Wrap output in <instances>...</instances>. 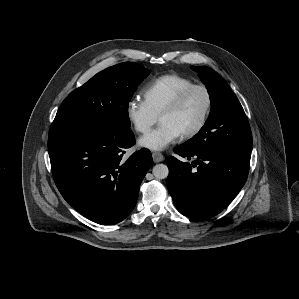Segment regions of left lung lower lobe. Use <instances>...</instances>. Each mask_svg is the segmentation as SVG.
<instances>
[{
    "label": "left lung lower lobe",
    "instance_id": "1",
    "mask_svg": "<svg viewBox=\"0 0 299 299\" xmlns=\"http://www.w3.org/2000/svg\"><path fill=\"white\" fill-rule=\"evenodd\" d=\"M174 152L194 160L190 164L173 156L166 158L168 190L178 211L187 217L205 220L217 215L232 202L246 182L251 154H205L184 144L175 147Z\"/></svg>",
    "mask_w": 299,
    "mask_h": 299
}]
</instances>
